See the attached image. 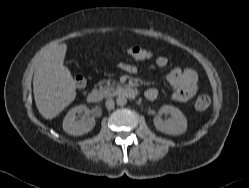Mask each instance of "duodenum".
Instances as JSON below:
<instances>
[{
  "mask_svg": "<svg viewBox=\"0 0 249 188\" xmlns=\"http://www.w3.org/2000/svg\"><path fill=\"white\" fill-rule=\"evenodd\" d=\"M119 95L133 99L137 96V91L131 87H122L119 90ZM86 99L89 103L95 104L101 101L102 94L98 90H92L86 94Z\"/></svg>",
  "mask_w": 249,
  "mask_h": 188,
  "instance_id": "duodenum-1",
  "label": "duodenum"
}]
</instances>
